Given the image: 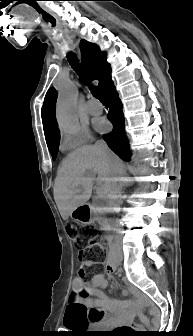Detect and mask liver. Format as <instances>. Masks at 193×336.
Wrapping results in <instances>:
<instances>
[{"label":"liver","instance_id":"6515ba94","mask_svg":"<svg viewBox=\"0 0 193 336\" xmlns=\"http://www.w3.org/2000/svg\"><path fill=\"white\" fill-rule=\"evenodd\" d=\"M88 171L92 176L87 175ZM124 173V166L120 158L111 150L108 156H103L93 146H83L69 153L62 162L61 169L54 183V200L64 220H67L72 211L85 205L90 199L98 175L97 193L107 197L113 179H118ZM120 180V179H119Z\"/></svg>","mask_w":193,"mask_h":336}]
</instances>
